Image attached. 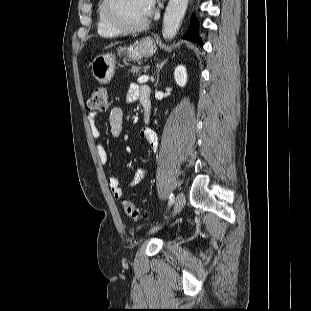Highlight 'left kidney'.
<instances>
[{
    "mask_svg": "<svg viewBox=\"0 0 311 311\" xmlns=\"http://www.w3.org/2000/svg\"><path fill=\"white\" fill-rule=\"evenodd\" d=\"M187 71L185 66L178 65L174 71V79L180 87H184L187 83Z\"/></svg>",
    "mask_w": 311,
    "mask_h": 311,
    "instance_id": "obj_1",
    "label": "left kidney"
}]
</instances>
